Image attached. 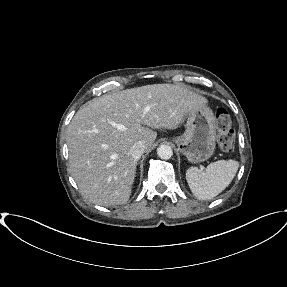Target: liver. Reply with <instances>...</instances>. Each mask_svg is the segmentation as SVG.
<instances>
[{
	"label": "liver",
	"instance_id": "obj_1",
	"mask_svg": "<svg viewBox=\"0 0 287 287\" xmlns=\"http://www.w3.org/2000/svg\"><path fill=\"white\" fill-rule=\"evenodd\" d=\"M207 100L182 84H152L105 94L84 104L67 128L69 169L81 194L94 204H125L137 160L131 147L150 151L153 129H175Z\"/></svg>",
	"mask_w": 287,
	"mask_h": 287
}]
</instances>
